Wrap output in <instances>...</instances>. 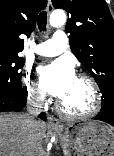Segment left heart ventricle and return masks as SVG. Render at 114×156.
I'll return each mask as SVG.
<instances>
[{"label": "left heart ventricle", "instance_id": "b2bd125f", "mask_svg": "<svg viewBox=\"0 0 114 156\" xmlns=\"http://www.w3.org/2000/svg\"><path fill=\"white\" fill-rule=\"evenodd\" d=\"M60 101L69 112H86L93 104L92 90L86 81L75 77L69 90Z\"/></svg>", "mask_w": 114, "mask_h": 156}]
</instances>
